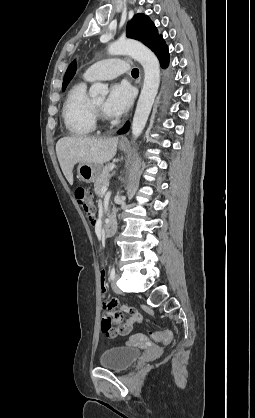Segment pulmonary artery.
I'll return each mask as SVG.
<instances>
[{
  "instance_id": "e3ab8cb5",
  "label": "pulmonary artery",
  "mask_w": 255,
  "mask_h": 418,
  "mask_svg": "<svg viewBox=\"0 0 255 418\" xmlns=\"http://www.w3.org/2000/svg\"><path fill=\"white\" fill-rule=\"evenodd\" d=\"M129 64L121 58L106 59L91 65L84 73L89 81L113 79L128 71Z\"/></svg>"
}]
</instances>
